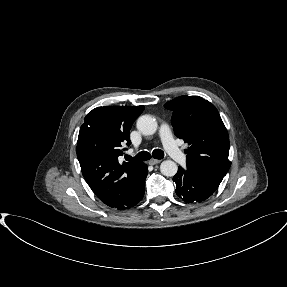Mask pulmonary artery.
I'll list each match as a JSON object with an SVG mask.
<instances>
[{"label":"pulmonary artery","instance_id":"pulmonary-artery-1","mask_svg":"<svg viewBox=\"0 0 287 287\" xmlns=\"http://www.w3.org/2000/svg\"><path fill=\"white\" fill-rule=\"evenodd\" d=\"M160 136L162 139L163 146L167 154L177 163H183L186 160L184 152L176 145L175 140L171 134L170 127L168 124L163 123L160 126Z\"/></svg>","mask_w":287,"mask_h":287}]
</instances>
